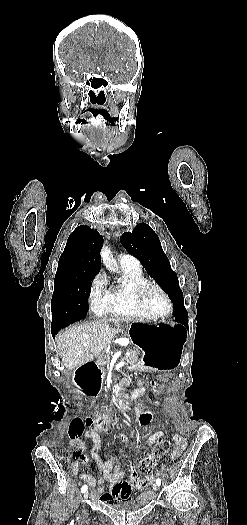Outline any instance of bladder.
<instances>
[{
    "label": "bladder",
    "instance_id": "obj_1",
    "mask_svg": "<svg viewBox=\"0 0 247 525\" xmlns=\"http://www.w3.org/2000/svg\"><path fill=\"white\" fill-rule=\"evenodd\" d=\"M111 509L118 512H135L146 507L145 494H140L137 498H129L127 500L115 501L110 504Z\"/></svg>",
    "mask_w": 247,
    "mask_h": 525
}]
</instances>
